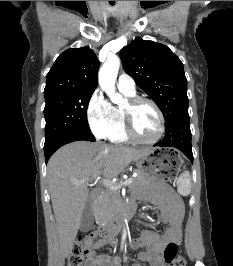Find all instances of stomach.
I'll list each match as a JSON object with an SVG mask.
<instances>
[{
  "mask_svg": "<svg viewBox=\"0 0 233 266\" xmlns=\"http://www.w3.org/2000/svg\"><path fill=\"white\" fill-rule=\"evenodd\" d=\"M178 147H155L136 161L139 171L150 180H176V172L183 166L184 156L178 152Z\"/></svg>",
  "mask_w": 233,
  "mask_h": 266,
  "instance_id": "stomach-1",
  "label": "stomach"
}]
</instances>
